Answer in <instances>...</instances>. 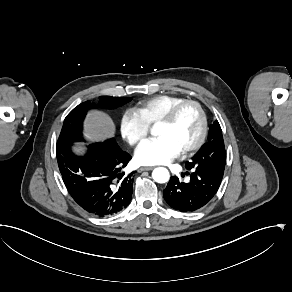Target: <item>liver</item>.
Here are the masks:
<instances>
[{"instance_id":"obj_1","label":"liver","mask_w":292,"mask_h":292,"mask_svg":"<svg viewBox=\"0 0 292 292\" xmlns=\"http://www.w3.org/2000/svg\"><path fill=\"white\" fill-rule=\"evenodd\" d=\"M87 132L94 138H101L113 133V123L103 113L93 112L86 123Z\"/></svg>"}]
</instances>
